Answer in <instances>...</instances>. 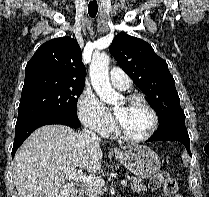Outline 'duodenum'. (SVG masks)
Masks as SVG:
<instances>
[{
  "label": "duodenum",
  "instance_id": "410a0bca",
  "mask_svg": "<svg viewBox=\"0 0 209 197\" xmlns=\"http://www.w3.org/2000/svg\"><path fill=\"white\" fill-rule=\"evenodd\" d=\"M71 197H80V193L79 192H74Z\"/></svg>",
  "mask_w": 209,
  "mask_h": 197
}]
</instances>
